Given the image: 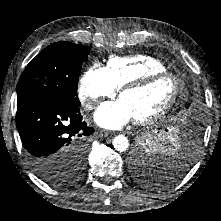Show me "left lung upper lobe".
<instances>
[{
	"label": "left lung upper lobe",
	"mask_w": 221,
	"mask_h": 221,
	"mask_svg": "<svg viewBox=\"0 0 221 221\" xmlns=\"http://www.w3.org/2000/svg\"><path fill=\"white\" fill-rule=\"evenodd\" d=\"M160 162H162L161 155L145 152L141 148L138 149L132 154V168H133L132 170L135 178L143 182L144 184L151 186H156L158 184H165L167 182L166 179L168 178L165 177L163 178L164 174L160 173L161 178L158 179L157 171H154V170H160L154 167V166H160L158 165ZM164 171L165 170H163V172ZM156 177L157 180L161 181H157Z\"/></svg>",
	"instance_id": "1"
}]
</instances>
